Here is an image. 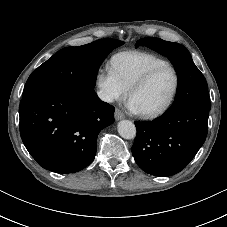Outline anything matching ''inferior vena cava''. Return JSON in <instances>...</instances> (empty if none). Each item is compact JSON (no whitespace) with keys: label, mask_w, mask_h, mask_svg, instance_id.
Here are the masks:
<instances>
[{"label":"inferior vena cava","mask_w":227,"mask_h":227,"mask_svg":"<svg viewBox=\"0 0 227 227\" xmlns=\"http://www.w3.org/2000/svg\"><path fill=\"white\" fill-rule=\"evenodd\" d=\"M97 95H98L99 99L104 102H109V103L113 102V96L110 95L109 93L105 92L104 90L98 91Z\"/></svg>","instance_id":"obj_1"}]
</instances>
